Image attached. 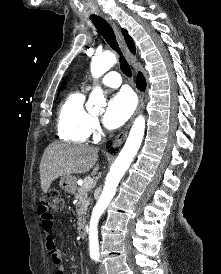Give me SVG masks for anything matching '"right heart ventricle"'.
<instances>
[{
  "label": "right heart ventricle",
  "mask_w": 221,
  "mask_h": 274,
  "mask_svg": "<svg viewBox=\"0 0 221 274\" xmlns=\"http://www.w3.org/2000/svg\"><path fill=\"white\" fill-rule=\"evenodd\" d=\"M85 94L69 93L60 104L57 114L58 136L67 142L84 143L91 135L93 117L84 107Z\"/></svg>",
  "instance_id": "right-heart-ventricle-1"
}]
</instances>
